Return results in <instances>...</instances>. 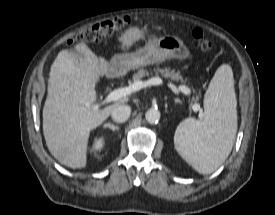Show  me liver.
<instances>
[{
  "label": "liver",
  "instance_id": "6515ba94",
  "mask_svg": "<svg viewBox=\"0 0 275 215\" xmlns=\"http://www.w3.org/2000/svg\"><path fill=\"white\" fill-rule=\"evenodd\" d=\"M144 37L138 28L126 30L119 38L121 49H129ZM154 41H149L148 46ZM112 71L110 62L98 57L84 43L60 51L53 62L43 108V133L48 150L61 164L85 168L91 130L100 126L117 105L128 101L123 97L101 110L92 106L97 81Z\"/></svg>",
  "mask_w": 275,
  "mask_h": 215
}]
</instances>
